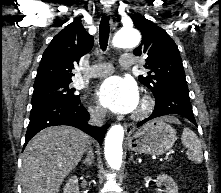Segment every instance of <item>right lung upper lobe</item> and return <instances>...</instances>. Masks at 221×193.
Instances as JSON below:
<instances>
[{"label":"right lung upper lobe","mask_w":221,"mask_h":193,"mask_svg":"<svg viewBox=\"0 0 221 193\" xmlns=\"http://www.w3.org/2000/svg\"><path fill=\"white\" fill-rule=\"evenodd\" d=\"M93 36L84 29L81 18L60 31L51 41L37 70L35 85L72 81L74 63L93 47Z\"/></svg>","instance_id":"obj_1"}]
</instances>
